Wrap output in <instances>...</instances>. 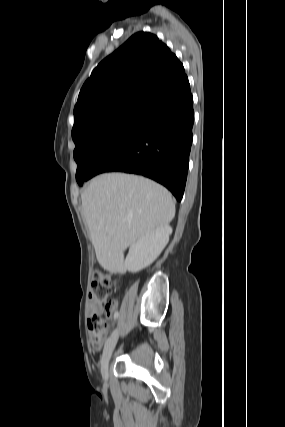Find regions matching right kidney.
I'll return each mask as SVG.
<instances>
[{
	"instance_id": "right-kidney-1",
	"label": "right kidney",
	"mask_w": 285,
	"mask_h": 427,
	"mask_svg": "<svg viewBox=\"0 0 285 427\" xmlns=\"http://www.w3.org/2000/svg\"><path fill=\"white\" fill-rule=\"evenodd\" d=\"M171 233L172 228L166 224L139 238L129 249L125 260L126 269L136 273L151 265L167 245Z\"/></svg>"
}]
</instances>
